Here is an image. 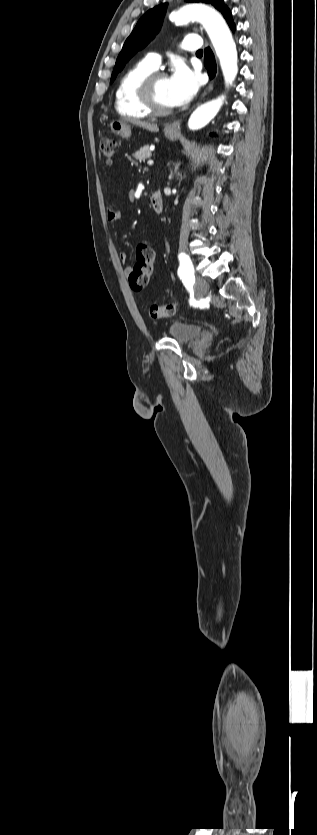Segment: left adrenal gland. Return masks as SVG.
<instances>
[{
	"label": "left adrenal gland",
	"instance_id": "1",
	"mask_svg": "<svg viewBox=\"0 0 317 835\" xmlns=\"http://www.w3.org/2000/svg\"><path fill=\"white\" fill-rule=\"evenodd\" d=\"M179 164L175 166V172L178 170Z\"/></svg>",
	"mask_w": 317,
	"mask_h": 835
}]
</instances>
